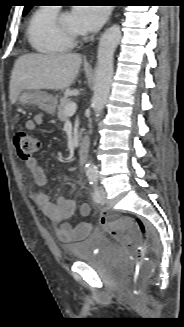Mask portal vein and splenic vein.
Segmentation results:
<instances>
[{"label": "portal vein and splenic vein", "instance_id": "obj_1", "mask_svg": "<svg viewBox=\"0 0 184 327\" xmlns=\"http://www.w3.org/2000/svg\"><path fill=\"white\" fill-rule=\"evenodd\" d=\"M76 109H77V105L76 103L74 102H70L66 105L65 107V113L68 115V116H72L75 112H76Z\"/></svg>", "mask_w": 184, "mask_h": 327}]
</instances>
